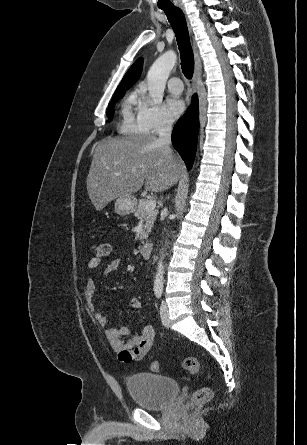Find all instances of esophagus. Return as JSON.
<instances>
[{
    "label": "esophagus",
    "mask_w": 307,
    "mask_h": 445,
    "mask_svg": "<svg viewBox=\"0 0 307 445\" xmlns=\"http://www.w3.org/2000/svg\"><path fill=\"white\" fill-rule=\"evenodd\" d=\"M176 7L180 8V10H182L183 13H186L183 3H176ZM186 20H187L189 33H190L191 39H192V46H193L194 60H195L194 75H193V81H192V90H193V92H196L198 79L200 78L201 72H202V63H201V58L199 56L197 44H196V41H195V38H194V35L192 32V28L190 26V22L187 17H186Z\"/></svg>",
    "instance_id": "1"
}]
</instances>
